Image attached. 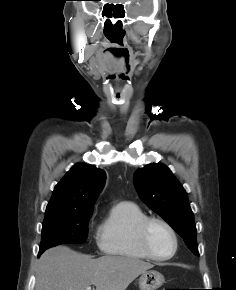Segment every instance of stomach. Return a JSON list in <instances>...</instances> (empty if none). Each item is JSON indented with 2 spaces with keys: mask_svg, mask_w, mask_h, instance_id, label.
Masks as SVG:
<instances>
[{
  "mask_svg": "<svg viewBox=\"0 0 236 290\" xmlns=\"http://www.w3.org/2000/svg\"><path fill=\"white\" fill-rule=\"evenodd\" d=\"M140 290H157L164 282V276L155 270L143 272L139 279Z\"/></svg>",
  "mask_w": 236,
  "mask_h": 290,
  "instance_id": "stomach-1",
  "label": "stomach"
}]
</instances>
